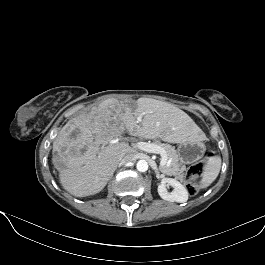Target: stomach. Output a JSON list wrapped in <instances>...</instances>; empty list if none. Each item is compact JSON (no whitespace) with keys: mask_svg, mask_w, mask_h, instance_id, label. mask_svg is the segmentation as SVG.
<instances>
[{"mask_svg":"<svg viewBox=\"0 0 265 265\" xmlns=\"http://www.w3.org/2000/svg\"><path fill=\"white\" fill-rule=\"evenodd\" d=\"M205 152V146L200 141H184L179 143L177 155L181 163L192 164L198 161Z\"/></svg>","mask_w":265,"mask_h":265,"instance_id":"1","label":"stomach"}]
</instances>
